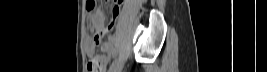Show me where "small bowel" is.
Wrapping results in <instances>:
<instances>
[{
	"label": "small bowel",
	"instance_id": "obj_1",
	"mask_svg": "<svg viewBox=\"0 0 267 72\" xmlns=\"http://www.w3.org/2000/svg\"><path fill=\"white\" fill-rule=\"evenodd\" d=\"M115 7H119V9L114 10ZM112 14H113V20H115L119 16V14H120V2H117L114 5L113 10H112ZM89 21L92 24L93 28L96 30V35H100L101 39L103 37H105L109 33L111 28L113 27L112 26L110 29H108V26L110 24H112L113 22H111L108 26H105V16H104V13L100 10H98L94 14H92L90 16ZM85 47H86V51H87L89 58H91V61L94 60V61L98 62V64H99V71L98 72L104 71L106 69L107 63H108L107 56H105V55L94 56L95 42L93 40L88 41L85 44ZM104 51L106 53H110L112 51V44L110 41L104 45Z\"/></svg>",
	"mask_w": 267,
	"mask_h": 72
}]
</instances>
